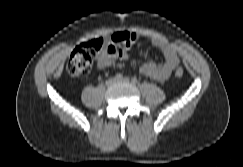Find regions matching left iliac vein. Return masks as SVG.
I'll list each match as a JSON object with an SVG mask.
<instances>
[{
    "label": "left iliac vein",
    "instance_id": "obj_1",
    "mask_svg": "<svg viewBox=\"0 0 243 167\" xmlns=\"http://www.w3.org/2000/svg\"><path fill=\"white\" fill-rule=\"evenodd\" d=\"M116 82L117 83H129L130 82V80L128 79V78H123V79H121V80H116Z\"/></svg>",
    "mask_w": 243,
    "mask_h": 167
}]
</instances>
